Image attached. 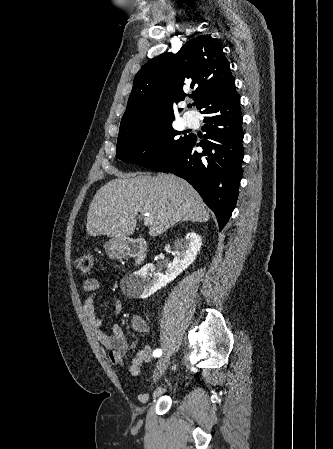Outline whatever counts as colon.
<instances>
[{
  "label": "colon",
  "instance_id": "5ec220e1",
  "mask_svg": "<svg viewBox=\"0 0 333 449\" xmlns=\"http://www.w3.org/2000/svg\"><path fill=\"white\" fill-rule=\"evenodd\" d=\"M75 266L82 273L90 272V270H91V268L93 266V256H92V254L85 253V254L80 255L75 260Z\"/></svg>",
  "mask_w": 333,
  "mask_h": 449
}]
</instances>
